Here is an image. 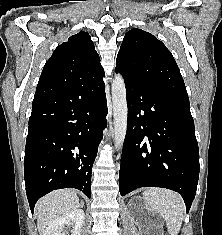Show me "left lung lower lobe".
Wrapping results in <instances>:
<instances>
[{"instance_id": "1", "label": "left lung lower lobe", "mask_w": 222, "mask_h": 235, "mask_svg": "<svg viewBox=\"0 0 222 235\" xmlns=\"http://www.w3.org/2000/svg\"><path fill=\"white\" fill-rule=\"evenodd\" d=\"M122 76L128 119L119 171L120 194L140 187L168 188L182 195L188 212L200 168L190 105Z\"/></svg>"}]
</instances>
